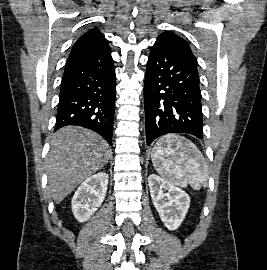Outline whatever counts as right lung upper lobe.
<instances>
[{
	"label": "right lung upper lobe",
	"instance_id": "obj_1",
	"mask_svg": "<svg viewBox=\"0 0 267 270\" xmlns=\"http://www.w3.org/2000/svg\"><path fill=\"white\" fill-rule=\"evenodd\" d=\"M108 41L104 37V35L97 29H92L82 35L77 42L74 44L70 57L81 52L87 51L89 49H93L96 47H100L102 45L107 44Z\"/></svg>",
	"mask_w": 267,
	"mask_h": 270
}]
</instances>
